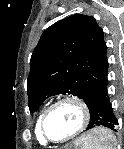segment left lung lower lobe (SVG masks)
<instances>
[{
	"label": "left lung lower lobe",
	"instance_id": "left-lung-lower-lobe-1",
	"mask_svg": "<svg viewBox=\"0 0 124 149\" xmlns=\"http://www.w3.org/2000/svg\"><path fill=\"white\" fill-rule=\"evenodd\" d=\"M107 82L108 80L103 82L86 97L85 103L90 111V122L87 130L97 126H104L116 131L114 127L118 125V120L113 113L109 100Z\"/></svg>",
	"mask_w": 124,
	"mask_h": 149
}]
</instances>
